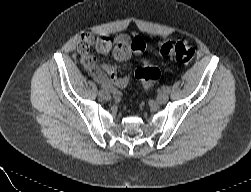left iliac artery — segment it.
I'll list each match as a JSON object with an SVG mask.
<instances>
[{"label":"left iliac artery","instance_id":"1","mask_svg":"<svg viewBox=\"0 0 251 192\" xmlns=\"http://www.w3.org/2000/svg\"><path fill=\"white\" fill-rule=\"evenodd\" d=\"M170 86H165L163 87V91L166 92V93H169L170 92Z\"/></svg>","mask_w":251,"mask_h":192}]
</instances>
